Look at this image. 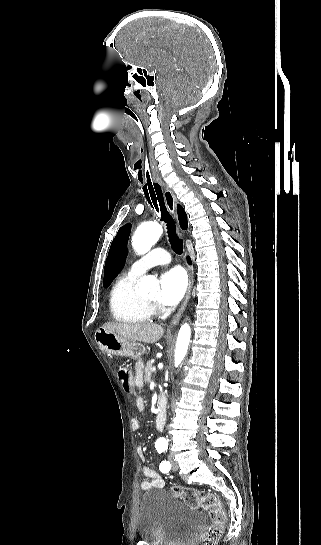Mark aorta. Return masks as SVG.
<instances>
[{
  "label": "aorta",
  "instance_id": "1",
  "mask_svg": "<svg viewBox=\"0 0 321 545\" xmlns=\"http://www.w3.org/2000/svg\"><path fill=\"white\" fill-rule=\"evenodd\" d=\"M163 233L162 226L154 222L142 223L135 231L132 237V246L137 254L143 255L147 253L151 247L156 244L158 239ZM158 283L155 277L145 276L142 278L139 290L143 293L155 291ZM191 329L190 326L185 323L181 326L175 348V367L184 359L187 354L188 346L190 343ZM164 441V439H160Z\"/></svg>",
  "mask_w": 321,
  "mask_h": 545
}]
</instances>
